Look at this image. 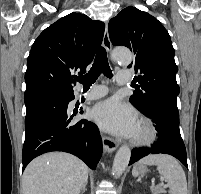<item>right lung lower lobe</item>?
Returning <instances> with one entry per match:
<instances>
[{"instance_id": "1", "label": "right lung lower lobe", "mask_w": 201, "mask_h": 194, "mask_svg": "<svg viewBox=\"0 0 201 194\" xmlns=\"http://www.w3.org/2000/svg\"><path fill=\"white\" fill-rule=\"evenodd\" d=\"M73 91L40 89L24 94L26 104L23 169L35 157L63 151L76 155L95 169L102 153V140L97 126L86 119L70 123L73 116L67 107Z\"/></svg>"}]
</instances>
